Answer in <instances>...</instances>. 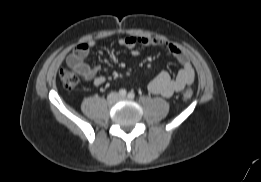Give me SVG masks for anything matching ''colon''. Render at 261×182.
Returning a JSON list of instances; mask_svg holds the SVG:
<instances>
[{
	"label": "colon",
	"mask_w": 261,
	"mask_h": 182,
	"mask_svg": "<svg viewBox=\"0 0 261 182\" xmlns=\"http://www.w3.org/2000/svg\"><path fill=\"white\" fill-rule=\"evenodd\" d=\"M60 80L64 86L65 89L67 90H73L76 88V86L78 85L79 83V77L78 75L71 71V70H68V69H62L60 71ZM193 95V92L191 89H185L184 92H183V98L185 100H189Z\"/></svg>",
	"instance_id": "5ec220e1"
}]
</instances>
